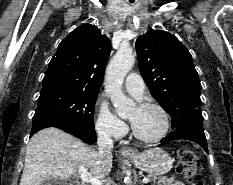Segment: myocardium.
Wrapping results in <instances>:
<instances>
[{
	"instance_id": "myocardium-1",
	"label": "myocardium",
	"mask_w": 233,
	"mask_h": 185,
	"mask_svg": "<svg viewBox=\"0 0 233 185\" xmlns=\"http://www.w3.org/2000/svg\"><path fill=\"white\" fill-rule=\"evenodd\" d=\"M138 107L139 108H155L159 110L164 118V127L162 131L154 137H143L140 134H138V132L132 126L131 129H132L133 137L140 142L149 143V144L157 143L161 141L163 138H165L171 128V117H170L169 112L166 110V108L162 106L161 104L154 102V101H143L138 105Z\"/></svg>"
}]
</instances>
